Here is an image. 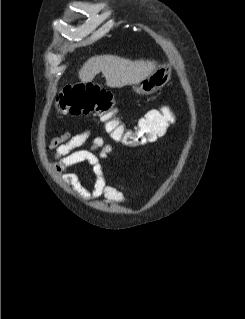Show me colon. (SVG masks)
<instances>
[{
	"label": "colon",
	"instance_id": "1",
	"mask_svg": "<svg viewBox=\"0 0 245 319\" xmlns=\"http://www.w3.org/2000/svg\"><path fill=\"white\" fill-rule=\"evenodd\" d=\"M58 109L67 115L94 114L105 123L110 136L126 147L145 145L156 141L167 130L174 115L168 108L149 111L138 120L134 129L117 117L118 107L113 95L97 84H74L64 88L57 97Z\"/></svg>",
	"mask_w": 245,
	"mask_h": 319
}]
</instances>
